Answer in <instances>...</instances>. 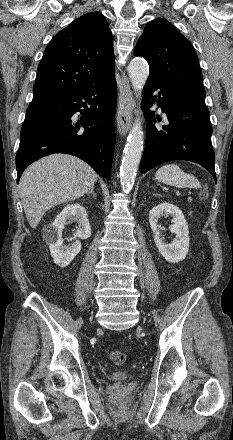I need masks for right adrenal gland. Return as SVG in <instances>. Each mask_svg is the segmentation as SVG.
Here are the masks:
<instances>
[{
	"label": "right adrenal gland",
	"mask_w": 233,
	"mask_h": 440,
	"mask_svg": "<svg viewBox=\"0 0 233 440\" xmlns=\"http://www.w3.org/2000/svg\"><path fill=\"white\" fill-rule=\"evenodd\" d=\"M88 194H92L94 197H96V194L94 193V187L88 192Z\"/></svg>",
	"instance_id": "1"
}]
</instances>
